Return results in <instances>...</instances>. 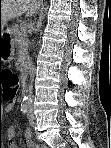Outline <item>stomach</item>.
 Segmentation results:
<instances>
[{
	"label": "stomach",
	"mask_w": 111,
	"mask_h": 148,
	"mask_svg": "<svg viewBox=\"0 0 111 148\" xmlns=\"http://www.w3.org/2000/svg\"><path fill=\"white\" fill-rule=\"evenodd\" d=\"M6 32L2 28V36ZM14 57V43L9 39L0 40V62H10Z\"/></svg>",
	"instance_id": "0dacf381"
}]
</instances>
